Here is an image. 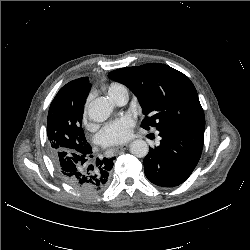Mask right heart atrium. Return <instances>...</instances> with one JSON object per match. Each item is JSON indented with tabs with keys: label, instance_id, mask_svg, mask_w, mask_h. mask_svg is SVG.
<instances>
[{
	"label": "right heart atrium",
	"instance_id": "1",
	"mask_svg": "<svg viewBox=\"0 0 250 250\" xmlns=\"http://www.w3.org/2000/svg\"><path fill=\"white\" fill-rule=\"evenodd\" d=\"M88 119V109L87 107L84 109V112H83V120L84 121H87Z\"/></svg>",
	"mask_w": 250,
	"mask_h": 250
}]
</instances>
